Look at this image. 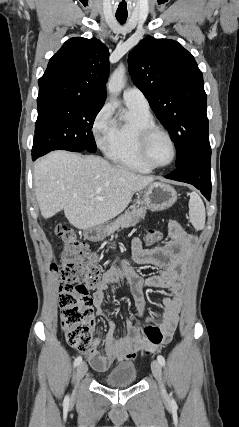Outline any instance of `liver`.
Masks as SVG:
<instances>
[{"mask_svg":"<svg viewBox=\"0 0 239 427\" xmlns=\"http://www.w3.org/2000/svg\"><path fill=\"white\" fill-rule=\"evenodd\" d=\"M154 179L112 165L100 156L56 151L34 166L36 199L43 218L64 210L78 229L103 225L123 212Z\"/></svg>","mask_w":239,"mask_h":427,"instance_id":"1","label":"liver"}]
</instances>
